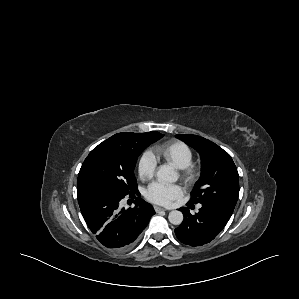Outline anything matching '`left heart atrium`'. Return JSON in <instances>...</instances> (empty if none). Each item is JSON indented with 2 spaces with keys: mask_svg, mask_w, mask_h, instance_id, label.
Returning <instances> with one entry per match:
<instances>
[{
  "mask_svg": "<svg viewBox=\"0 0 299 299\" xmlns=\"http://www.w3.org/2000/svg\"><path fill=\"white\" fill-rule=\"evenodd\" d=\"M182 195V189L179 185H168L161 182H154L149 185L146 196L157 204L169 205Z\"/></svg>",
  "mask_w": 299,
  "mask_h": 299,
  "instance_id": "39dd6f15",
  "label": "left heart atrium"
}]
</instances>
